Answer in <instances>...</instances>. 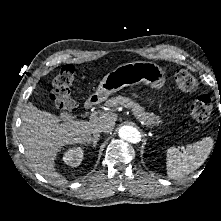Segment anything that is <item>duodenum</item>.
<instances>
[{"label":"duodenum","mask_w":221,"mask_h":221,"mask_svg":"<svg viewBox=\"0 0 221 221\" xmlns=\"http://www.w3.org/2000/svg\"><path fill=\"white\" fill-rule=\"evenodd\" d=\"M97 103V98L91 97L89 98L85 104H84V109L89 110L91 109L95 104Z\"/></svg>","instance_id":"obj_1"}]
</instances>
